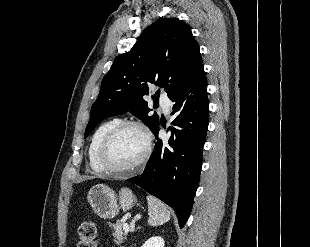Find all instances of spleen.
<instances>
[{"mask_svg": "<svg viewBox=\"0 0 310 247\" xmlns=\"http://www.w3.org/2000/svg\"><path fill=\"white\" fill-rule=\"evenodd\" d=\"M148 202V224L159 226L170 220V212L166 205L153 196H147Z\"/></svg>", "mask_w": 310, "mask_h": 247, "instance_id": "3e777b00", "label": "spleen"}]
</instances>
